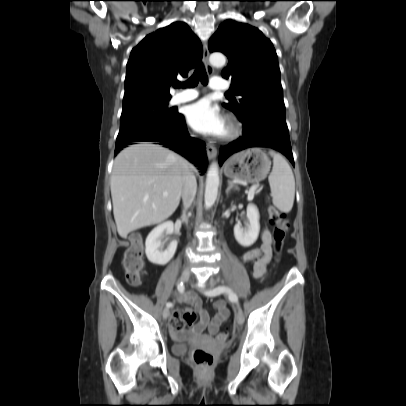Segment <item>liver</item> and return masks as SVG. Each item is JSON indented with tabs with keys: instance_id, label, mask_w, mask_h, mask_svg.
I'll list each match as a JSON object with an SVG mask.
<instances>
[{
	"instance_id": "1",
	"label": "liver",
	"mask_w": 406,
	"mask_h": 406,
	"mask_svg": "<svg viewBox=\"0 0 406 406\" xmlns=\"http://www.w3.org/2000/svg\"><path fill=\"white\" fill-rule=\"evenodd\" d=\"M185 166L196 171L181 156L148 142L131 145L117 155L110 187L120 237L127 238L134 230L158 224L175 212Z\"/></svg>"
}]
</instances>
